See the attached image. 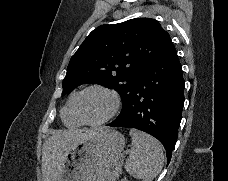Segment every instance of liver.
Here are the masks:
<instances>
[{
    "instance_id": "obj_1",
    "label": "liver",
    "mask_w": 228,
    "mask_h": 181,
    "mask_svg": "<svg viewBox=\"0 0 228 181\" xmlns=\"http://www.w3.org/2000/svg\"><path fill=\"white\" fill-rule=\"evenodd\" d=\"M101 129L91 131H54L48 141L43 145L42 175L44 181H58L65 165L66 157L75 145L85 141L89 135H93Z\"/></svg>"
}]
</instances>
